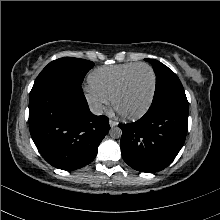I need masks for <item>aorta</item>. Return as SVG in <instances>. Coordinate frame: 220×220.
Returning a JSON list of instances; mask_svg holds the SVG:
<instances>
[{
	"label": "aorta",
	"mask_w": 220,
	"mask_h": 220,
	"mask_svg": "<svg viewBox=\"0 0 220 220\" xmlns=\"http://www.w3.org/2000/svg\"><path fill=\"white\" fill-rule=\"evenodd\" d=\"M109 134L112 138H120L122 135V130L118 126L111 127Z\"/></svg>",
	"instance_id": "762f6f07"
}]
</instances>
